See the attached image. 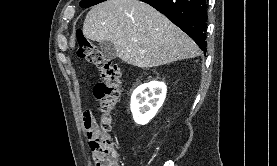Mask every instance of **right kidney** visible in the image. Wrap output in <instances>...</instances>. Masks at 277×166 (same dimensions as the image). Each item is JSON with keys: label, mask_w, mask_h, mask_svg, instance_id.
<instances>
[{"label": "right kidney", "mask_w": 277, "mask_h": 166, "mask_svg": "<svg viewBox=\"0 0 277 166\" xmlns=\"http://www.w3.org/2000/svg\"><path fill=\"white\" fill-rule=\"evenodd\" d=\"M167 93L165 83L152 81L137 87L131 96V112L137 124H147L162 106Z\"/></svg>", "instance_id": "ca27d5eb"}]
</instances>
